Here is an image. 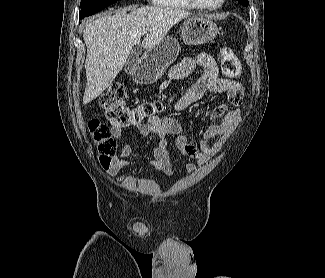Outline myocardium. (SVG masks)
<instances>
[{
	"mask_svg": "<svg viewBox=\"0 0 325 278\" xmlns=\"http://www.w3.org/2000/svg\"><path fill=\"white\" fill-rule=\"evenodd\" d=\"M195 8L201 9V10H206V11H213L221 8L226 0H221L218 4L214 6H206L200 3L199 0H189Z\"/></svg>",
	"mask_w": 325,
	"mask_h": 278,
	"instance_id": "myocardium-1",
	"label": "myocardium"
}]
</instances>
